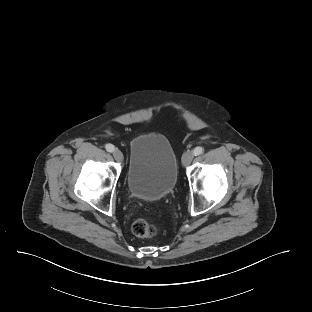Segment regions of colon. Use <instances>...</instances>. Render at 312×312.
<instances>
[{
	"instance_id": "5ec220e1",
	"label": "colon",
	"mask_w": 312,
	"mask_h": 312,
	"mask_svg": "<svg viewBox=\"0 0 312 312\" xmlns=\"http://www.w3.org/2000/svg\"><path fill=\"white\" fill-rule=\"evenodd\" d=\"M132 232L139 238H153L158 234V229L146 219H138L132 225Z\"/></svg>"
}]
</instances>
